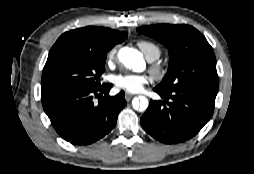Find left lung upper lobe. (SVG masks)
Listing matches in <instances>:
<instances>
[{
  "mask_svg": "<svg viewBox=\"0 0 254 174\" xmlns=\"http://www.w3.org/2000/svg\"><path fill=\"white\" fill-rule=\"evenodd\" d=\"M137 31L168 48V71L156 88L173 92L190 86L218 91L213 49L197 29L189 25L161 24L140 27Z\"/></svg>",
  "mask_w": 254,
  "mask_h": 174,
  "instance_id": "5c2ea615",
  "label": "left lung upper lobe"
}]
</instances>
